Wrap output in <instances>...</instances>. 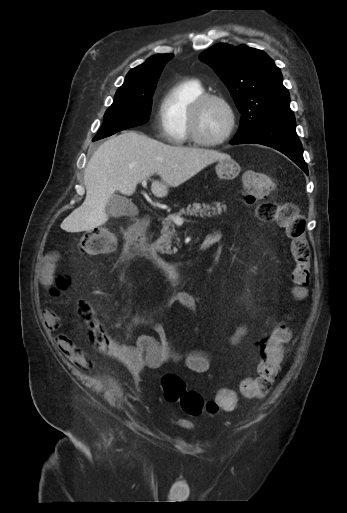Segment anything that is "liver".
Wrapping results in <instances>:
<instances>
[{
    "instance_id": "1",
    "label": "liver",
    "mask_w": 347,
    "mask_h": 513,
    "mask_svg": "<svg viewBox=\"0 0 347 513\" xmlns=\"http://www.w3.org/2000/svg\"><path fill=\"white\" fill-rule=\"evenodd\" d=\"M230 156L217 150L170 146L143 133L124 131L105 141L89 160L84 172L86 198L61 223L66 232L90 231L108 220L106 205L118 191L130 196L139 182L157 173L152 193L162 198L168 186L178 187L217 160Z\"/></svg>"
}]
</instances>
